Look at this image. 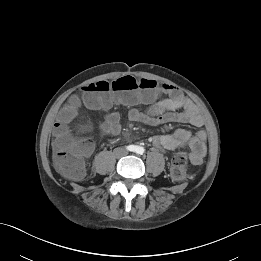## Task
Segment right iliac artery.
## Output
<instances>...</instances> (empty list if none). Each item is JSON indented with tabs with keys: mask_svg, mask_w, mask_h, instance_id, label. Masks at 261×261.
I'll return each instance as SVG.
<instances>
[{
	"mask_svg": "<svg viewBox=\"0 0 261 261\" xmlns=\"http://www.w3.org/2000/svg\"><path fill=\"white\" fill-rule=\"evenodd\" d=\"M135 149H136V147L134 145L127 146V150H129V151H134Z\"/></svg>",
	"mask_w": 261,
	"mask_h": 261,
	"instance_id": "1",
	"label": "right iliac artery"
}]
</instances>
